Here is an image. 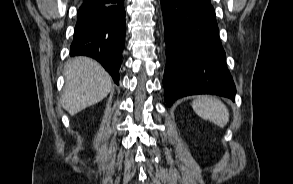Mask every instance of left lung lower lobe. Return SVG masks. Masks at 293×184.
<instances>
[{"label":"left lung lower lobe","mask_w":293,"mask_h":184,"mask_svg":"<svg viewBox=\"0 0 293 184\" xmlns=\"http://www.w3.org/2000/svg\"><path fill=\"white\" fill-rule=\"evenodd\" d=\"M166 42L165 101L215 94L235 100L210 0H160Z\"/></svg>","instance_id":"obj_1"}]
</instances>
